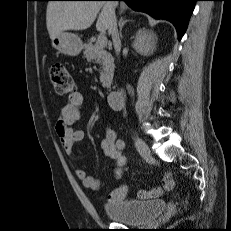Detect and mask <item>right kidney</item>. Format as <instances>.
Returning a JSON list of instances; mask_svg holds the SVG:
<instances>
[{"instance_id":"ca27d5eb","label":"right kidney","mask_w":231,"mask_h":231,"mask_svg":"<svg viewBox=\"0 0 231 231\" xmlns=\"http://www.w3.org/2000/svg\"><path fill=\"white\" fill-rule=\"evenodd\" d=\"M156 36L145 28L139 29L133 42V48L142 55H150L156 49Z\"/></svg>"}]
</instances>
